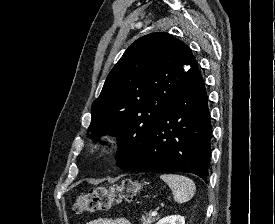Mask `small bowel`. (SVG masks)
Segmentation results:
<instances>
[{
	"label": "small bowel",
	"instance_id": "small-bowel-1",
	"mask_svg": "<svg viewBox=\"0 0 275 224\" xmlns=\"http://www.w3.org/2000/svg\"><path fill=\"white\" fill-rule=\"evenodd\" d=\"M87 224H130V222L123 217L104 216L92 220Z\"/></svg>",
	"mask_w": 275,
	"mask_h": 224
}]
</instances>
